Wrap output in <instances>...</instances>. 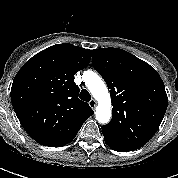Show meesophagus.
Wrapping results in <instances>:
<instances>
[{
  "label": "esophagus",
  "instance_id": "esophagus-1",
  "mask_svg": "<svg viewBox=\"0 0 178 178\" xmlns=\"http://www.w3.org/2000/svg\"><path fill=\"white\" fill-rule=\"evenodd\" d=\"M97 105V102L95 99H92L90 102H89V106L92 108V109H95Z\"/></svg>",
  "mask_w": 178,
  "mask_h": 178
}]
</instances>
